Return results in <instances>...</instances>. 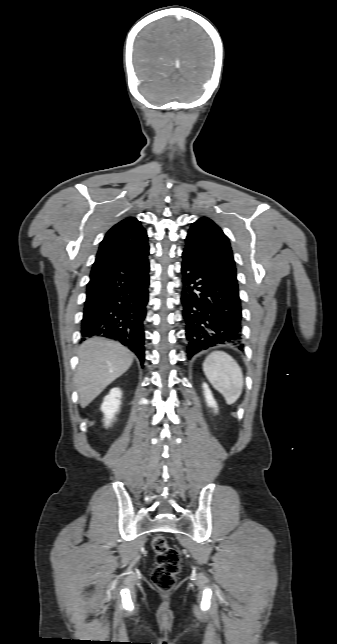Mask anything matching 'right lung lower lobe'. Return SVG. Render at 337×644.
I'll use <instances>...</instances> for the list:
<instances>
[{"instance_id": "obj_1", "label": "right lung lower lobe", "mask_w": 337, "mask_h": 644, "mask_svg": "<svg viewBox=\"0 0 337 644\" xmlns=\"http://www.w3.org/2000/svg\"><path fill=\"white\" fill-rule=\"evenodd\" d=\"M149 262L123 264L90 279L81 323L82 340L104 336L120 341L144 362L145 306Z\"/></svg>"}]
</instances>
